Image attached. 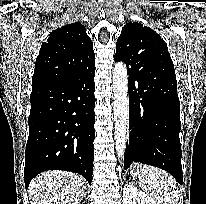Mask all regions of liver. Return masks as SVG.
Returning a JSON list of instances; mask_svg holds the SVG:
<instances>
[{
	"mask_svg": "<svg viewBox=\"0 0 206 204\" xmlns=\"http://www.w3.org/2000/svg\"><path fill=\"white\" fill-rule=\"evenodd\" d=\"M85 179L75 173L43 172L30 183V204H80L86 195Z\"/></svg>",
	"mask_w": 206,
	"mask_h": 204,
	"instance_id": "6515ba94",
	"label": "liver"
}]
</instances>
